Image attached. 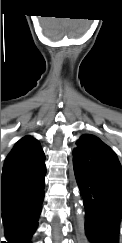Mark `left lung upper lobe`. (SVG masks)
<instances>
[{"mask_svg":"<svg viewBox=\"0 0 122 243\" xmlns=\"http://www.w3.org/2000/svg\"><path fill=\"white\" fill-rule=\"evenodd\" d=\"M77 147L74 149L73 166L82 155H89L99 152L102 148L108 147L99 138L93 135L85 134L77 141Z\"/></svg>","mask_w":122,"mask_h":243,"instance_id":"left-lung-upper-lobe-1","label":"left lung upper lobe"}]
</instances>
